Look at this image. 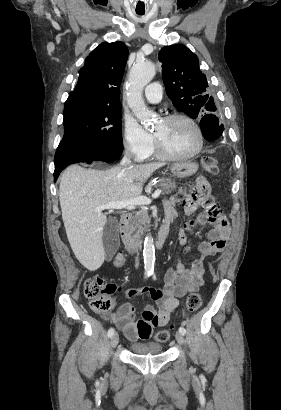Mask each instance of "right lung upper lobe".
<instances>
[{"label":"right lung upper lobe","instance_id":"obj_1","mask_svg":"<svg viewBox=\"0 0 281 410\" xmlns=\"http://www.w3.org/2000/svg\"><path fill=\"white\" fill-rule=\"evenodd\" d=\"M127 56L128 49L120 41L104 42L96 47L79 70L77 86L69 94L65 106L85 104L120 107L119 86Z\"/></svg>","mask_w":281,"mask_h":410}]
</instances>
